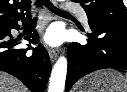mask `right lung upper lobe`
Listing matches in <instances>:
<instances>
[{"mask_svg": "<svg viewBox=\"0 0 127 92\" xmlns=\"http://www.w3.org/2000/svg\"><path fill=\"white\" fill-rule=\"evenodd\" d=\"M31 3V0H0V25L24 18Z\"/></svg>", "mask_w": 127, "mask_h": 92, "instance_id": "1", "label": "right lung upper lobe"}]
</instances>
